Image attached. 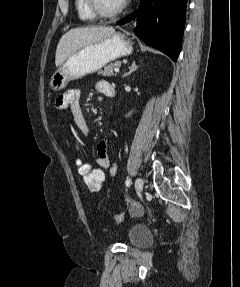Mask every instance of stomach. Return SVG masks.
<instances>
[{"instance_id":"obj_1","label":"stomach","mask_w":240,"mask_h":287,"mask_svg":"<svg viewBox=\"0 0 240 287\" xmlns=\"http://www.w3.org/2000/svg\"><path fill=\"white\" fill-rule=\"evenodd\" d=\"M132 41L125 33L114 32L106 38L89 44L69 56L51 77L54 91L64 89L72 80L92 74L107 63L132 53Z\"/></svg>"}]
</instances>
